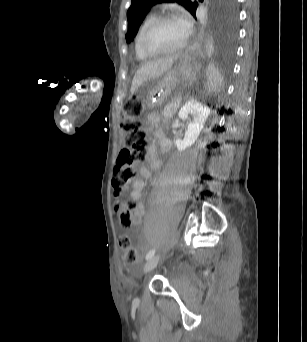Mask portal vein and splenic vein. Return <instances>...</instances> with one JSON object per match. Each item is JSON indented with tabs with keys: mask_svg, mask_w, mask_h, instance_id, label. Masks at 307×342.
Wrapping results in <instances>:
<instances>
[{
	"mask_svg": "<svg viewBox=\"0 0 307 342\" xmlns=\"http://www.w3.org/2000/svg\"><path fill=\"white\" fill-rule=\"evenodd\" d=\"M173 107H174L175 109H177V108H179L180 106L177 105V104H175Z\"/></svg>",
	"mask_w": 307,
	"mask_h": 342,
	"instance_id": "portal-vein-and-splenic-vein-1",
	"label": "portal vein and splenic vein"
}]
</instances>
